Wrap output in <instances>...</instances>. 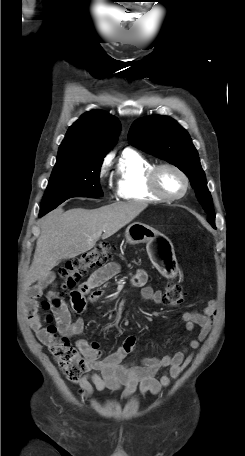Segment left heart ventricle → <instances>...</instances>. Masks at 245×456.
<instances>
[{"label": "left heart ventricle", "mask_w": 245, "mask_h": 456, "mask_svg": "<svg viewBox=\"0 0 245 456\" xmlns=\"http://www.w3.org/2000/svg\"><path fill=\"white\" fill-rule=\"evenodd\" d=\"M158 185L163 192L169 195H178L184 188V182L180 175L168 168L159 172Z\"/></svg>", "instance_id": "1"}]
</instances>
